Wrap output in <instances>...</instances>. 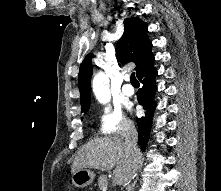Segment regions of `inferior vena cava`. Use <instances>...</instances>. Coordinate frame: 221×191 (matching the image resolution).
I'll return each instance as SVG.
<instances>
[{
    "instance_id": "602c4592",
    "label": "inferior vena cava",
    "mask_w": 221,
    "mask_h": 191,
    "mask_svg": "<svg viewBox=\"0 0 221 191\" xmlns=\"http://www.w3.org/2000/svg\"><path fill=\"white\" fill-rule=\"evenodd\" d=\"M125 143L129 150V153L134 158V161L137 162L140 159L141 153L137 146L138 134L135 128H129L125 133Z\"/></svg>"
}]
</instances>
